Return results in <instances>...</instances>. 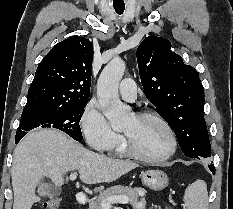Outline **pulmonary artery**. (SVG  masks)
I'll use <instances>...</instances> for the list:
<instances>
[{
  "mask_svg": "<svg viewBox=\"0 0 233 209\" xmlns=\"http://www.w3.org/2000/svg\"><path fill=\"white\" fill-rule=\"evenodd\" d=\"M120 96L127 101H134L136 99L137 89L133 79L125 78L119 85Z\"/></svg>",
  "mask_w": 233,
  "mask_h": 209,
  "instance_id": "1",
  "label": "pulmonary artery"
}]
</instances>
